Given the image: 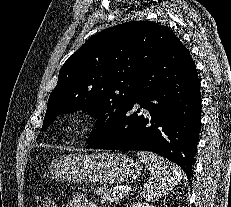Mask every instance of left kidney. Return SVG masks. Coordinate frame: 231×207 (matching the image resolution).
<instances>
[{"mask_svg": "<svg viewBox=\"0 0 231 207\" xmlns=\"http://www.w3.org/2000/svg\"><path fill=\"white\" fill-rule=\"evenodd\" d=\"M131 207H154L151 204L147 203V202H138L133 204Z\"/></svg>", "mask_w": 231, "mask_h": 207, "instance_id": "1", "label": "left kidney"}]
</instances>
